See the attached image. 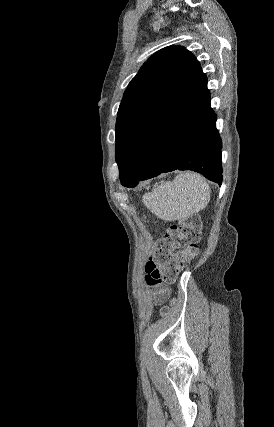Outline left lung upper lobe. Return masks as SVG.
Returning a JSON list of instances; mask_svg holds the SVG:
<instances>
[{"mask_svg": "<svg viewBox=\"0 0 274 427\" xmlns=\"http://www.w3.org/2000/svg\"><path fill=\"white\" fill-rule=\"evenodd\" d=\"M201 71L194 55L180 46L156 52L129 83L116 122V162L120 175L134 164L149 129Z\"/></svg>", "mask_w": 274, "mask_h": 427, "instance_id": "obj_1", "label": "left lung upper lobe"}]
</instances>
